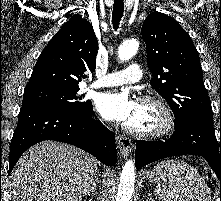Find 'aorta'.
I'll use <instances>...</instances> for the list:
<instances>
[{"mask_svg":"<svg viewBox=\"0 0 221 201\" xmlns=\"http://www.w3.org/2000/svg\"><path fill=\"white\" fill-rule=\"evenodd\" d=\"M139 42L136 39L124 41L118 49V57L120 60H128L132 58L138 51ZM135 185V163L129 159L123 166L116 201H130Z\"/></svg>","mask_w":221,"mask_h":201,"instance_id":"aorta-1","label":"aorta"}]
</instances>
